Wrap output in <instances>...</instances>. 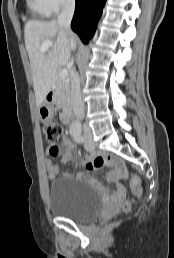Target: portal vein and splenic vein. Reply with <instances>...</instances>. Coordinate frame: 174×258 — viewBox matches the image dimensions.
<instances>
[{
  "mask_svg": "<svg viewBox=\"0 0 174 258\" xmlns=\"http://www.w3.org/2000/svg\"><path fill=\"white\" fill-rule=\"evenodd\" d=\"M53 46V43L51 41H44L41 45V52L44 53L46 52L47 49ZM68 76V71L67 69H62L59 73V77L62 79H65Z\"/></svg>",
  "mask_w": 174,
  "mask_h": 258,
  "instance_id": "portal-vein-and-splenic-vein-1",
  "label": "portal vein and splenic vein"
}]
</instances>
